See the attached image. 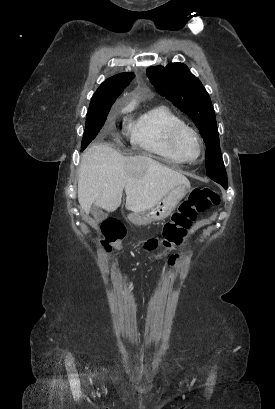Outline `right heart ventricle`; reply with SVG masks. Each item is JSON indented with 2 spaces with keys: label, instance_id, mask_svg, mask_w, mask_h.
Instances as JSON below:
<instances>
[{
  "label": "right heart ventricle",
  "instance_id": "e07e8e85",
  "mask_svg": "<svg viewBox=\"0 0 275 409\" xmlns=\"http://www.w3.org/2000/svg\"><path fill=\"white\" fill-rule=\"evenodd\" d=\"M184 122L165 106L142 114L126 126L134 149L156 157H173L170 148L172 131Z\"/></svg>",
  "mask_w": 275,
  "mask_h": 409
}]
</instances>
